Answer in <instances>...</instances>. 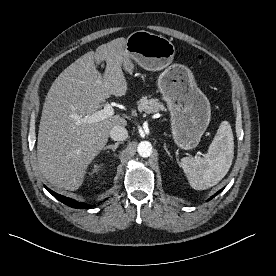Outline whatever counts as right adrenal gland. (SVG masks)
Instances as JSON below:
<instances>
[{"instance_id":"obj_1","label":"right adrenal gland","mask_w":276,"mask_h":276,"mask_svg":"<svg viewBox=\"0 0 276 276\" xmlns=\"http://www.w3.org/2000/svg\"><path fill=\"white\" fill-rule=\"evenodd\" d=\"M119 144H120V143L117 142V143H115L114 145L106 146V147H104L103 151H106V150H110V149H111L113 152H115L116 149L118 148Z\"/></svg>"}]
</instances>
